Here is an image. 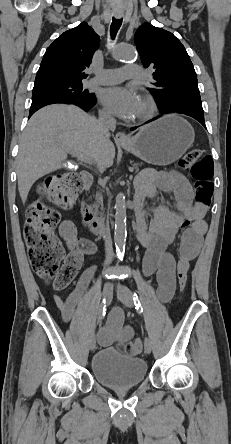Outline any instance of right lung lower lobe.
<instances>
[{"label":"right lung lower lobe","mask_w":231,"mask_h":444,"mask_svg":"<svg viewBox=\"0 0 231 444\" xmlns=\"http://www.w3.org/2000/svg\"><path fill=\"white\" fill-rule=\"evenodd\" d=\"M54 103L74 104V105L79 106L83 110L88 111L90 108H92L95 105V100H93L92 102H88V103L69 101V100H56V99H48V100L35 102V103H32V105H31L29 117L34 112H36L38 109H40L41 107L49 105V104H54Z\"/></svg>","instance_id":"right-lung-lower-lobe-1"}]
</instances>
